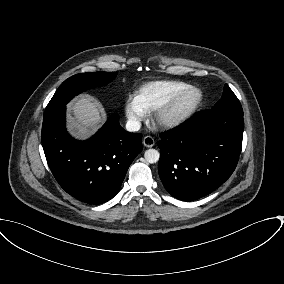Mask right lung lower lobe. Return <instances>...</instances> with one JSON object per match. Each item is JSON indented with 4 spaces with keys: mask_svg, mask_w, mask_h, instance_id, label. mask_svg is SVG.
I'll use <instances>...</instances> for the list:
<instances>
[{
    "mask_svg": "<svg viewBox=\"0 0 284 284\" xmlns=\"http://www.w3.org/2000/svg\"><path fill=\"white\" fill-rule=\"evenodd\" d=\"M62 107L43 118L42 146L60 186L76 199L101 204L119 191L126 172L142 151V135L125 131L117 116L86 141L74 140L65 128Z\"/></svg>",
    "mask_w": 284,
    "mask_h": 284,
    "instance_id": "obj_1",
    "label": "right lung lower lobe"
}]
</instances>
